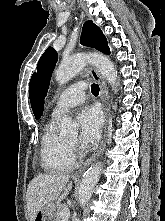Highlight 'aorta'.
Returning <instances> with one entry per match:
<instances>
[{
	"label": "aorta",
	"instance_id": "1",
	"mask_svg": "<svg viewBox=\"0 0 165 221\" xmlns=\"http://www.w3.org/2000/svg\"><path fill=\"white\" fill-rule=\"evenodd\" d=\"M87 63L96 66L101 75L111 84L112 88L117 91L118 73L114 64L106 56L101 54L76 55L68 60L61 62L55 71V79L58 84L63 85L78 74ZM62 134H70L76 132V123L67 116L60 121L59 126ZM102 165L100 163L90 167L83 175L78 192V201L83 207L90 200L93 188L97 184Z\"/></svg>",
	"mask_w": 165,
	"mask_h": 221
}]
</instances>
